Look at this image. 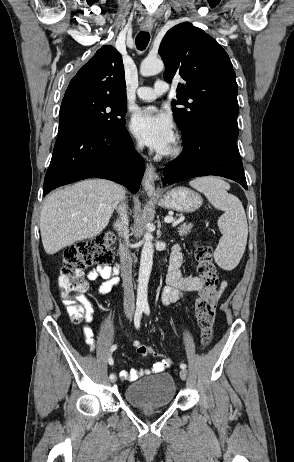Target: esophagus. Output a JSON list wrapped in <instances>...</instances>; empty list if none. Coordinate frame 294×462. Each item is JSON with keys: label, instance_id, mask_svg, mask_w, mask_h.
I'll list each match as a JSON object with an SVG mask.
<instances>
[{"label": "esophagus", "instance_id": "obj_1", "mask_svg": "<svg viewBox=\"0 0 294 462\" xmlns=\"http://www.w3.org/2000/svg\"><path fill=\"white\" fill-rule=\"evenodd\" d=\"M153 28L152 21H146L141 25V29L144 31H150ZM155 180H156V172L155 168L152 164H147L146 170L143 176L142 185L144 190L147 193L155 192Z\"/></svg>", "mask_w": 294, "mask_h": 462}]
</instances>
